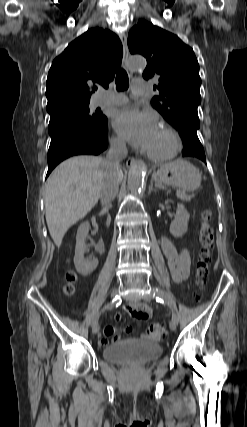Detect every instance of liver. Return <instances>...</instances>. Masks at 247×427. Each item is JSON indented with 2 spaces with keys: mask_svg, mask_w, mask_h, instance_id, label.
<instances>
[{
  "mask_svg": "<svg viewBox=\"0 0 247 427\" xmlns=\"http://www.w3.org/2000/svg\"><path fill=\"white\" fill-rule=\"evenodd\" d=\"M105 159L75 156L62 162L46 184L45 214L50 235L60 247L68 229L84 218L100 197ZM123 178L121 171L120 181Z\"/></svg>",
  "mask_w": 247,
  "mask_h": 427,
  "instance_id": "1",
  "label": "liver"
}]
</instances>
